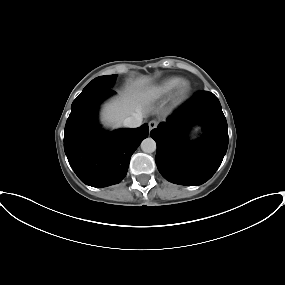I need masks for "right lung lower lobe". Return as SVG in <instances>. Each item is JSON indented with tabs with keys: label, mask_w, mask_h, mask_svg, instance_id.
Returning a JSON list of instances; mask_svg holds the SVG:
<instances>
[{
	"label": "right lung lower lobe",
	"mask_w": 285,
	"mask_h": 285,
	"mask_svg": "<svg viewBox=\"0 0 285 285\" xmlns=\"http://www.w3.org/2000/svg\"><path fill=\"white\" fill-rule=\"evenodd\" d=\"M107 89L87 95L71 107L65 125L64 150L79 179L92 187L117 184L126 176L130 158L149 128L106 132L97 121L100 103L114 94Z\"/></svg>",
	"instance_id": "98d812e1"
}]
</instances>
